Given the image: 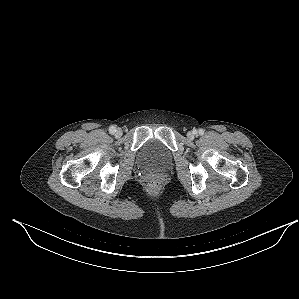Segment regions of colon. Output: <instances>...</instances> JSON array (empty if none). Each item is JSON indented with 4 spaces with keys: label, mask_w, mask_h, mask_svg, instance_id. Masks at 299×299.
<instances>
[{
    "label": "colon",
    "mask_w": 299,
    "mask_h": 299,
    "mask_svg": "<svg viewBox=\"0 0 299 299\" xmlns=\"http://www.w3.org/2000/svg\"><path fill=\"white\" fill-rule=\"evenodd\" d=\"M150 187L151 188H153V189H155L156 187H157V182L156 181H151V183H150Z\"/></svg>",
    "instance_id": "5ec220e1"
}]
</instances>
